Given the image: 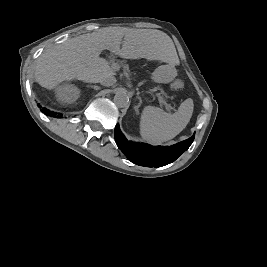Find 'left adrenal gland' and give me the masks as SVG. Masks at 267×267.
I'll list each match as a JSON object with an SVG mask.
<instances>
[{
	"label": "left adrenal gland",
	"instance_id": "a2214340",
	"mask_svg": "<svg viewBox=\"0 0 267 267\" xmlns=\"http://www.w3.org/2000/svg\"><path fill=\"white\" fill-rule=\"evenodd\" d=\"M137 98L139 99V104L134 107V109H135L136 112L138 111V108L141 106V103H142L141 98H139L138 96H137Z\"/></svg>",
	"mask_w": 267,
	"mask_h": 267
}]
</instances>
